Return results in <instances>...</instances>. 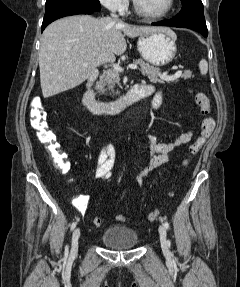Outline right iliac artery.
I'll use <instances>...</instances> for the list:
<instances>
[{"label": "right iliac artery", "instance_id": "82829eb1", "mask_svg": "<svg viewBox=\"0 0 240 287\" xmlns=\"http://www.w3.org/2000/svg\"><path fill=\"white\" fill-rule=\"evenodd\" d=\"M76 227V222H73L72 224H71V231L72 230H74V228ZM68 248L66 247V250H67ZM66 253H68V252H66Z\"/></svg>", "mask_w": 240, "mask_h": 287}]
</instances>
